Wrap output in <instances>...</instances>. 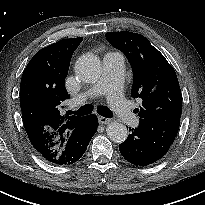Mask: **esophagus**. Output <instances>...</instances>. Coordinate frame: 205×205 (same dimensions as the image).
<instances>
[{"label": "esophagus", "instance_id": "esophagus-1", "mask_svg": "<svg viewBox=\"0 0 205 205\" xmlns=\"http://www.w3.org/2000/svg\"><path fill=\"white\" fill-rule=\"evenodd\" d=\"M98 121L100 124H108L111 122V119L103 117V116H98Z\"/></svg>", "mask_w": 205, "mask_h": 205}]
</instances>
